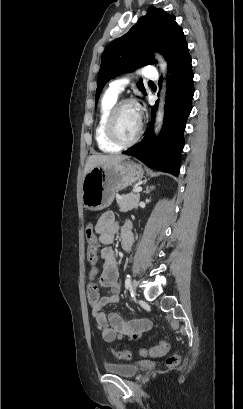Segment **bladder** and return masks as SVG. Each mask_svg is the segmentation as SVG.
<instances>
[{
    "label": "bladder",
    "instance_id": "obj_1",
    "mask_svg": "<svg viewBox=\"0 0 243 409\" xmlns=\"http://www.w3.org/2000/svg\"><path fill=\"white\" fill-rule=\"evenodd\" d=\"M104 369L107 373L114 374L124 378H133L140 370V366L137 363L133 364H115L105 363Z\"/></svg>",
    "mask_w": 243,
    "mask_h": 409
}]
</instances>
